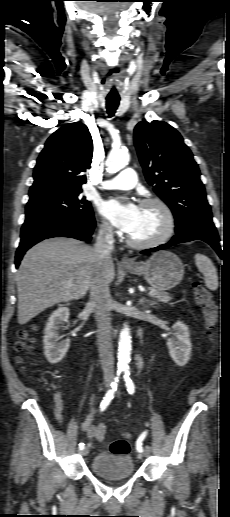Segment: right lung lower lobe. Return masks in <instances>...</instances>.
<instances>
[{"label": "right lung lower lobe", "mask_w": 230, "mask_h": 517, "mask_svg": "<svg viewBox=\"0 0 230 517\" xmlns=\"http://www.w3.org/2000/svg\"><path fill=\"white\" fill-rule=\"evenodd\" d=\"M94 216L69 217L63 215H40L26 218L21 228V241L16 252V267L25 252L36 243L52 237H71L90 241L95 228Z\"/></svg>", "instance_id": "right-lung-lower-lobe-1"}]
</instances>
